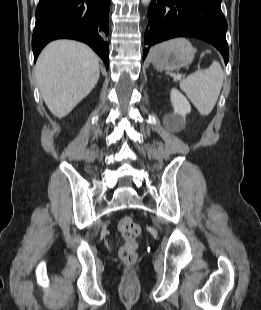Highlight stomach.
Instances as JSON below:
<instances>
[{
  "mask_svg": "<svg viewBox=\"0 0 261 310\" xmlns=\"http://www.w3.org/2000/svg\"><path fill=\"white\" fill-rule=\"evenodd\" d=\"M195 49L186 39H174L158 45L152 52L153 66L159 71H174L188 66Z\"/></svg>",
  "mask_w": 261,
  "mask_h": 310,
  "instance_id": "0dacf381",
  "label": "stomach"
}]
</instances>
